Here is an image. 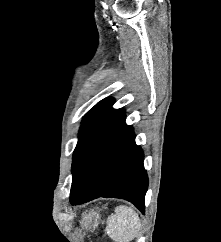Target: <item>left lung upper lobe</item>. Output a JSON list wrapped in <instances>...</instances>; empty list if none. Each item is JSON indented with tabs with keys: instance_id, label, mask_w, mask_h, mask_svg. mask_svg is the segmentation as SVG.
Wrapping results in <instances>:
<instances>
[{
	"instance_id": "left-lung-upper-lobe-1",
	"label": "left lung upper lobe",
	"mask_w": 221,
	"mask_h": 242,
	"mask_svg": "<svg viewBox=\"0 0 221 242\" xmlns=\"http://www.w3.org/2000/svg\"><path fill=\"white\" fill-rule=\"evenodd\" d=\"M113 103V98H105L98 102L83 118L78 143L73 153V177L90 150L107 132L125 118V111L113 109Z\"/></svg>"
}]
</instances>
